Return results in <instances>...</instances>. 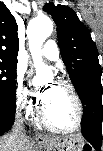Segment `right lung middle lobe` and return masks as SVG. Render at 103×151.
<instances>
[{"label":"right lung middle lobe","mask_w":103,"mask_h":151,"mask_svg":"<svg viewBox=\"0 0 103 151\" xmlns=\"http://www.w3.org/2000/svg\"><path fill=\"white\" fill-rule=\"evenodd\" d=\"M16 67L17 64L0 62V105L16 109Z\"/></svg>","instance_id":"obj_1"}]
</instances>
